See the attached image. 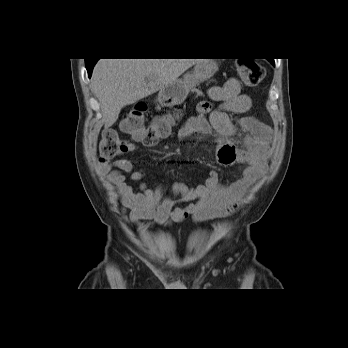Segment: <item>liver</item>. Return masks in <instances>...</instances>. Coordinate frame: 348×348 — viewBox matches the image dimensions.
I'll list each match as a JSON object with an SVG mask.
<instances>
[{"instance_id": "1", "label": "liver", "mask_w": 348, "mask_h": 348, "mask_svg": "<svg viewBox=\"0 0 348 348\" xmlns=\"http://www.w3.org/2000/svg\"><path fill=\"white\" fill-rule=\"evenodd\" d=\"M200 59H100L94 66L92 91L103 122L112 126L126 105L133 104L176 81Z\"/></svg>"}]
</instances>
